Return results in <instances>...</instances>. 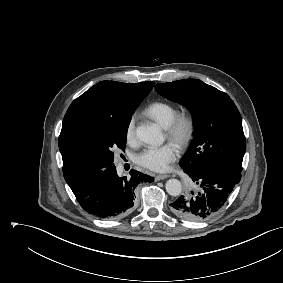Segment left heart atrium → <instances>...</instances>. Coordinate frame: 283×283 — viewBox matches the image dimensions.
<instances>
[{"label":"left heart atrium","mask_w":283,"mask_h":283,"mask_svg":"<svg viewBox=\"0 0 283 283\" xmlns=\"http://www.w3.org/2000/svg\"><path fill=\"white\" fill-rule=\"evenodd\" d=\"M178 148L173 143L162 146H148L136 158L139 165L152 171H165L176 160Z\"/></svg>","instance_id":"39dd6f15"}]
</instances>
